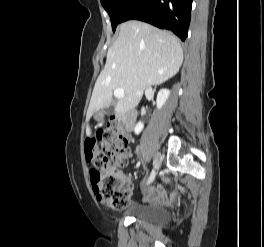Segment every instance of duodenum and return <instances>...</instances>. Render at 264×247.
<instances>
[{
  "mask_svg": "<svg viewBox=\"0 0 264 247\" xmlns=\"http://www.w3.org/2000/svg\"><path fill=\"white\" fill-rule=\"evenodd\" d=\"M135 116V110L130 109L120 117L121 122L127 130H132L135 122Z\"/></svg>",
  "mask_w": 264,
  "mask_h": 247,
  "instance_id": "duodenum-1",
  "label": "duodenum"
}]
</instances>
